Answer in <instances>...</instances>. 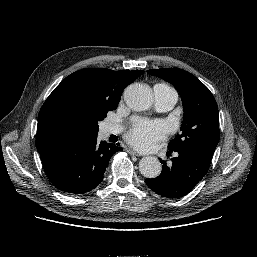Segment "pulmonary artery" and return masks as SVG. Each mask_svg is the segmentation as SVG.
I'll use <instances>...</instances> for the list:
<instances>
[{
	"instance_id": "obj_1",
	"label": "pulmonary artery",
	"mask_w": 257,
	"mask_h": 257,
	"mask_svg": "<svg viewBox=\"0 0 257 257\" xmlns=\"http://www.w3.org/2000/svg\"><path fill=\"white\" fill-rule=\"evenodd\" d=\"M155 98V108L160 112L171 110L177 100V96L171 89L162 85H155L153 88ZM108 133H117L118 128L112 125L107 126Z\"/></svg>"
}]
</instances>
